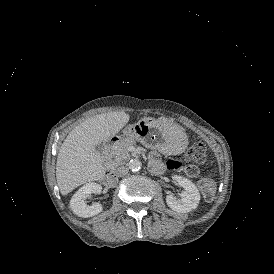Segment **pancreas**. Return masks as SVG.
<instances>
[{"mask_svg":"<svg viewBox=\"0 0 274 274\" xmlns=\"http://www.w3.org/2000/svg\"><path fill=\"white\" fill-rule=\"evenodd\" d=\"M134 144V139L128 137L116 142L114 146L109 148L105 155L110 159L113 167L125 164L129 160L128 147Z\"/></svg>","mask_w":274,"mask_h":274,"instance_id":"obj_1","label":"pancreas"}]
</instances>
